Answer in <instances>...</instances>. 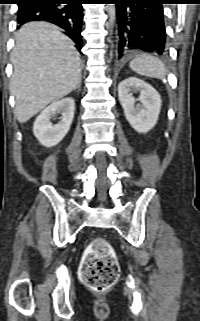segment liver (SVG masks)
<instances>
[{
  "instance_id": "obj_1",
  "label": "liver",
  "mask_w": 200,
  "mask_h": 321,
  "mask_svg": "<svg viewBox=\"0 0 200 321\" xmlns=\"http://www.w3.org/2000/svg\"><path fill=\"white\" fill-rule=\"evenodd\" d=\"M10 91L15 116L27 122L81 81V60L73 41L49 23L30 22L15 35Z\"/></svg>"
}]
</instances>
